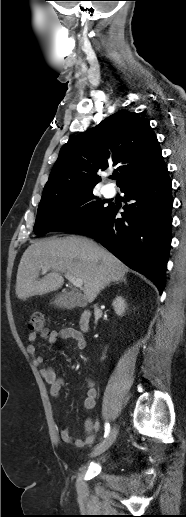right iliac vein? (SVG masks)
<instances>
[{"instance_id":"right-iliac-vein-1","label":"right iliac vein","mask_w":186,"mask_h":517,"mask_svg":"<svg viewBox=\"0 0 186 517\" xmlns=\"http://www.w3.org/2000/svg\"><path fill=\"white\" fill-rule=\"evenodd\" d=\"M117 433H118V428L117 426L115 425L110 434L108 435L107 439L103 442V444H101L100 446H98L96 449H94L91 453V457H96L98 455H101L102 453H104L106 450H108L111 445L114 443L115 439H116V436H117Z\"/></svg>"}]
</instances>
